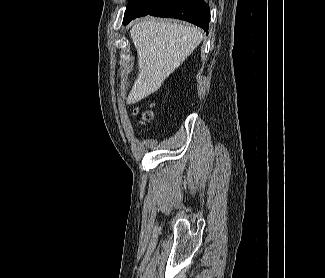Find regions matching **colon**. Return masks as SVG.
I'll use <instances>...</instances> for the list:
<instances>
[{
  "label": "colon",
  "instance_id": "colon-1",
  "mask_svg": "<svg viewBox=\"0 0 325 278\" xmlns=\"http://www.w3.org/2000/svg\"><path fill=\"white\" fill-rule=\"evenodd\" d=\"M134 114L138 115L140 117V122L142 124L147 123L148 121H150L153 118V113L151 110L141 111V110L136 109V110H134Z\"/></svg>",
  "mask_w": 325,
  "mask_h": 278
}]
</instances>
